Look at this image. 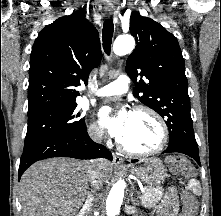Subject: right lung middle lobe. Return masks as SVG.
<instances>
[{
	"instance_id": "dd1d6c3e",
	"label": "right lung middle lobe",
	"mask_w": 221,
	"mask_h": 216,
	"mask_svg": "<svg viewBox=\"0 0 221 216\" xmlns=\"http://www.w3.org/2000/svg\"><path fill=\"white\" fill-rule=\"evenodd\" d=\"M76 106L77 104H73L28 115V127L23 151L81 128L84 125V120L77 119L80 114H75Z\"/></svg>"
}]
</instances>
